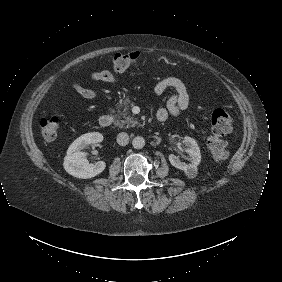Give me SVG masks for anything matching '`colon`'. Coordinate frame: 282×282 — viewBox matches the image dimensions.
Returning a JSON list of instances; mask_svg holds the SVG:
<instances>
[{
	"label": "colon",
	"mask_w": 282,
	"mask_h": 282,
	"mask_svg": "<svg viewBox=\"0 0 282 282\" xmlns=\"http://www.w3.org/2000/svg\"><path fill=\"white\" fill-rule=\"evenodd\" d=\"M142 60L140 52L117 53L113 60L116 71L124 72L135 67ZM211 130L207 140L208 151L217 160L226 159L228 156L227 135L232 128V114L227 108H217L211 115ZM61 119L57 115L45 116L40 121L42 137L46 141H52L58 135Z\"/></svg>",
	"instance_id": "1"
}]
</instances>
